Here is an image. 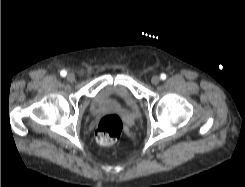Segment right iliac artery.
I'll use <instances>...</instances> for the list:
<instances>
[{"mask_svg":"<svg viewBox=\"0 0 245 187\" xmlns=\"http://www.w3.org/2000/svg\"><path fill=\"white\" fill-rule=\"evenodd\" d=\"M60 75H61L62 77H65V76L67 75V72H66L65 70H62V71L60 72Z\"/></svg>","mask_w":245,"mask_h":187,"instance_id":"1","label":"right iliac artery"}]
</instances>
